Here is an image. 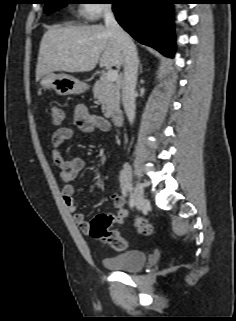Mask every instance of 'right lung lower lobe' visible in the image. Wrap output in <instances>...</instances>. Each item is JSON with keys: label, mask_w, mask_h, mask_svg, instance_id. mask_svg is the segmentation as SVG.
Here are the masks:
<instances>
[{"label": "right lung lower lobe", "mask_w": 236, "mask_h": 321, "mask_svg": "<svg viewBox=\"0 0 236 321\" xmlns=\"http://www.w3.org/2000/svg\"><path fill=\"white\" fill-rule=\"evenodd\" d=\"M118 23L142 44L173 57L175 47L170 0H111Z\"/></svg>", "instance_id": "98d812e1"}]
</instances>
